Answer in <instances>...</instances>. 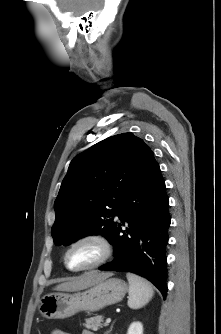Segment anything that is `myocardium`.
<instances>
[{"instance_id":"obj_1","label":"myocardium","mask_w":221,"mask_h":334,"mask_svg":"<svg viewBox=\"0 0 221 334\" xmlns=\"http://www.w3.org/2000/svg\"><path fill=\"white\" fill-rule=\"evenodd\" d=\"M87 242L95 243L96 245H98V247L100 248L99 258L87 266L71 267L68 263V257L71 250L77 245ZM112 252H113V246L110 240L106 236H104L101 233L89 232L78 236L68 245L64 253V264L66 268L70 271L74 272L88 271L103 265L110 258Z\"/></svg>"}]
</instances>
